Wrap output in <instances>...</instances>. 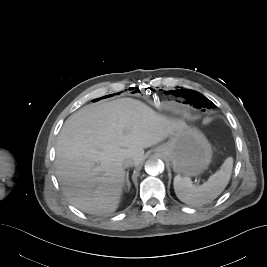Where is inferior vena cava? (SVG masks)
Returning a JSON list of instances; mask_svg holds the SVG:
<instances>
[{
    "label": "inferior vena cava",
    "instance_id": "602c4592",
    "mask_svg": "<svg viewBox=\"0 0 267 267\" xmlns=\"http://www.w3.org/2000/svg\"><path fill=\"white\" fill-rule=\"evenodd\" d=\"M134 165H135V163H134V161H133L132 159L127 158V159H125V160L123 161V166H124L125 168H127V167H131V166H134Z\"/></svg>",
    "mask_w": 267,
    "mask_h": 267
}]
</instances>
